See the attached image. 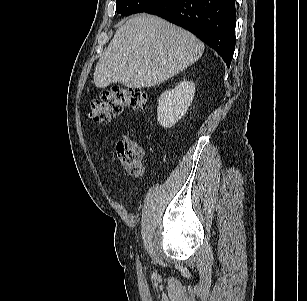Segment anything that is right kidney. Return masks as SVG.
I'll use <instances>...</instances> for the list:
<instances>
[{"label": "right kidney", "instance_id": "ca27d5eb", "mask_svg": "<svg viewBox=\"0 0 307 301\" xmlns=\"http://www.w3.org/2000/svg\"><path fill=\"white\" fill-rule=\"evenodd\" d=\"M195 94V83L183 81L166 90L158 100L157 119L164 128L173 127L187 112Z\"/></svg>", "mask_w": 307, "mask_h": 301}]
</instances>
